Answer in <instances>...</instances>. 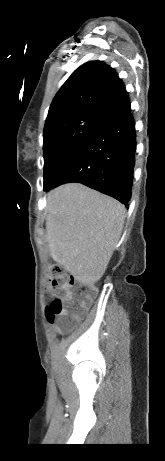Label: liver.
Returning <instances> with one entry per match:
<instances>
[{"instance_id":"1","label":"liver","mask_w":165,"mask_h":461,"mask_svg":"<svg viewBox=\"0 0 165 461\" xmlns=\"http://www.w3.org/2000/svg\"><path fill=\"white\" fill-rule=\"evenodd\" d=\"M46 241L54 261L83 284L103 276L121 237L125 207L82 184L47 194Z\"/></svg>"}]
</instances>
